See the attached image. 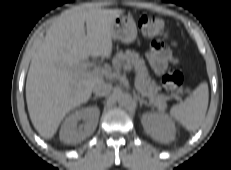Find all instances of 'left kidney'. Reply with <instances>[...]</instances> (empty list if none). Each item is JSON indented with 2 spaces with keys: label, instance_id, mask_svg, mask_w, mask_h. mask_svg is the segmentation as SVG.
Instances as JSON below:
<instances>
[{
  "label": "left kidney",
  "instance_id": "1",
  "mask_svg": "<svg viewBox=\"0 0 231 170\" xmlns=\"http://www.w3.org/2000/svg\"><path fill=\"white\" fill-rule=\"evenodd\" d=\"M141 122L145 132L153 139L162 143H169L175 139V123L164 112L145 113Z\"/></svg>",
  "mask_w": 231,
  "mask_h": 170
}]
</instances>
